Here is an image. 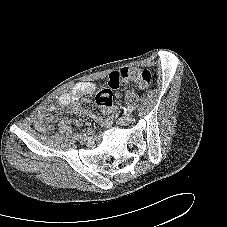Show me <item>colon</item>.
I'll list each match as a JSON object with an SVG mask.
<instances>
[{
  "label": "colon",
  "mask_w": 227,
  "mask_h": 227,
  "mask_svg": "<svg viewBox=\"0 0 227 227\" xmlns=\"http://www.w3.org/2000/svg\"><path fill=\"white\" fill-rule=\"evenodd\" d=\"M128 81L134 82L138 87L145 89L151 85L152 75L147 69L140 67H125L112 72L108 78V87L102 89L96 95V105L103 112L107 111L112 106L113 91Z\"/></svg>",
  "instance_id": "1"
}]
</instances>
